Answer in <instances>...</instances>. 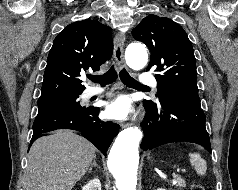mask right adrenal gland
<instances>
[{"instance_id": "right-adrenal-gland-1", "label": "right adrenal gland", "mask_w": 238, "mask_h": 190, "mask_svg": "<svg viewBox=\"0 0 238 190\" xmlns=\"http://www.w3.org/2000/svg\"><path fill=\"white\" fill-rule=\"evenodd\" d=\"M93 167H97L98 169H100V166L97 165V163H96V157L94 158L93 163L90 165V167L88 169V173H91Z\"/></svg>"}]
</instances>
